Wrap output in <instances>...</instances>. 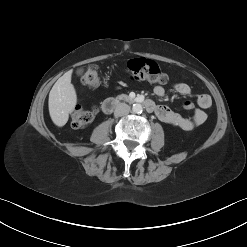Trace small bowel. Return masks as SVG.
Returning <instances> with one entry per match:
<instances>
[{"mask_svg":"<svg viewBox=\"0 0 247 247\" xmlns=\"http://www.w3.org/2000/svg\"><path fill=\"white\" fill-rule=\"evenodd\" d=\"M174 90L184 96H190L192 94L191 87L186 83L175 84ZM154 93L158 97H163L166 91L164 87L158 85L154 88ZM197 103L200 109H197L190 118L183 117L164 105H155L154 113L162 122L189 131L205 122L207 115L203 109L211 106L212 99L208 94H201L197 98Z\"/></svg>","mask_w":247,"mask_h":247,"instance_id":"c3829d8e","label":"small bowel"}]
</instances>
